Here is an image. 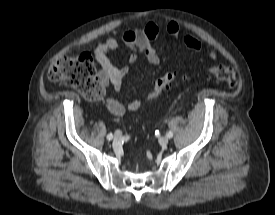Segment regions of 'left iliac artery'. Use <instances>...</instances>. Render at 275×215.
Wrapping results in <instances>:
<instances>
[{"mask_svg":"<svg viewBox=\"0 0 275 215\" xmlns=\"http://www.w3.org/2000/svg\"><path fill=\"white\" fill-rule=\"evenodd\" d=\"M166 136H167L168 138H172V137H173V133H172L171 131H169V132H167Z\"/></svg>","mask_w":275,"mask_h":215,"instance_id":"obj_1","label":"left iliac artery"}]
</instances>
